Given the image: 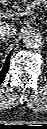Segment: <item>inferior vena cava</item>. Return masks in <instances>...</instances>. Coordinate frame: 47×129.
<instances>
[{
	"mask_svg": "<svg viewBox=\"0 0 47 129\" xmlns=\"http://www.w3.org/2000/svg\"><path fill=\"white\" fill-rule=\"evenodd\" d=\"M16 34V29L13 25L4 23L0 26V39L8 40L11 37H14Z\"/></svg>",
	"mask_w": 47,
	"mask_h": 129,
	"instance_id": "inferior-vena-cava-1",
	"label": "inferior vena cava"
}]
</instances>
